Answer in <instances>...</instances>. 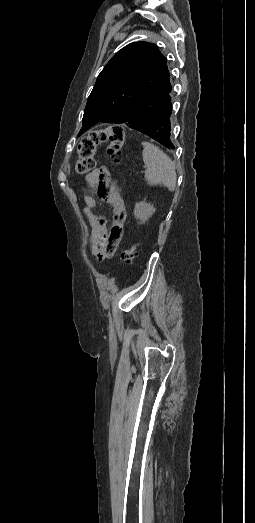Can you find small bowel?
<instances>
[{"label": "small bowel", "mask_w": 255, "mask_h": 523, "mask_svg": "<svg viewBox=\"0 0 255 523\" xmlns=\"http://www.w3.org/2000/svg\"><path fill=\"white\" fill-rule=\"evenodd\" d=\"M86 181L94 191V195L83 196V212L92 228L91 254L103 262L110 259L119 246L127 217L126 208L117 183L105 167L94 169L86 176ZM101 202L107 203L113 210L110 229L105 217L95 213V208Z\"/></svg>", "instance_id": "obj_1"}]
</instances>
